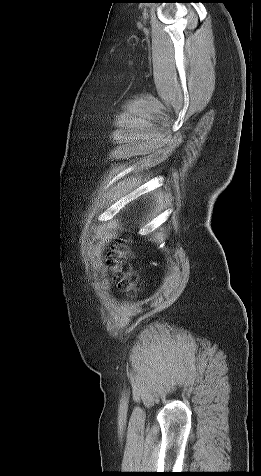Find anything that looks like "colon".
Listing matches in <instances>:
<instances>
[{
	"mask_svg": "<svg viewBox=\"0 0 261 476\" xmlns=\"http://www.w3.org/2000/svg\"><path fill=\"white\" fill-rule=\"evenodd\" d=\"M132 256L130 248L126 245V240L115 244L107 253L106 261L111 270L118 276V286L127 291L133 292L136 288L137 275L127 264V260Z\"/></svg>",
	"mask_w": 261,
	"mask_h": 476,
	"instance_id": "colon-1",
	"label": "colon"
}]
</instances>
